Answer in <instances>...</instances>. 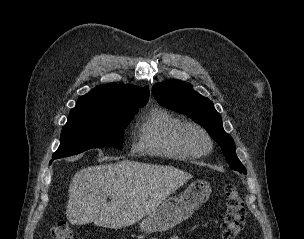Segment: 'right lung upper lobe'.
<instances>
[{
    "instance_id": "cb5924a9",
    "label": "right lung upper lobe",
    "mask_w": 304,
    "mask_h": 239,
    "mask_svg": "<svg viewBox=\"0 0 304 239\" xmlns=\"http://www.w3.org/2000/svg\"><path fill=\"white\" fill-rule=\"evenodd\" d=\"M148 99V86L105 84L80 97L70 114L119 112L127 107H141Z\"/></svg>"
}]
</instances>
